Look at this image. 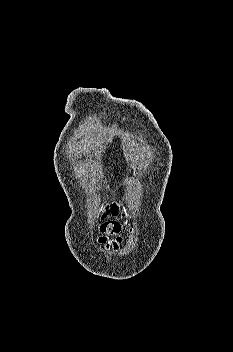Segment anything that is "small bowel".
<instances>
[{"label": "small bowel", "instance_id": "small-bowel-1", "mask_svg": "<svg viewBox=\"0 0 233 352\" xmlns=\"http://www.w3.org/2000/svg\"><path fill=\"white\" fill-rule=\"evenodd\" d=\"M118 213H117V209L116 208H114L113 209V215H117ZM105 242V241H104ZM121 242V240L120 239H116L115 241H113L112 242V245H113V247L114 248H117L118 247V244Z\"/></svg>", "mask_w": 233, "mask_h": 352}]
</instances>
